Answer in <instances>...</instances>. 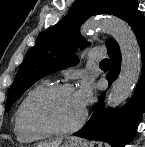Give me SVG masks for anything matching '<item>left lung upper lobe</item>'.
<instances>
[{
  "label": "left lung upper lobe",
  "instance_id": "left-lung-upper-lobe-1",
  "mask_svg": "<svg viewBox=\"0 0 145 147\" xmlns=\"http://www.w3.org/2000/svg\"><path fill=\"white\" fill-rule=\"evenodd\" d=\"M131 0H75L68 14L55 26L38 35L35 45L27 53L13 84L5 105L9 111L17 98L42 77L66 69L73 61L74 49L89 43L79 34L81 24L89 17L98 14L115 15L123 19ZM113 39L106 41L108 46Z\"/></svg>",
  "mask_w": 145,
  "mask_h": 147
}]
</instances>
